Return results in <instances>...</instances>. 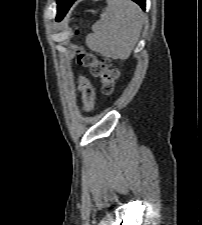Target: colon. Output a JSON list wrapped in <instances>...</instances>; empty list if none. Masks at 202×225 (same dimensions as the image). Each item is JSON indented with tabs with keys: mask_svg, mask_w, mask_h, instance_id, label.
<instances>
[{
	"mask_svg": "<svg viewBox=\"0 0 202 225\" xmlns=\"http://www.w3.org/2000/svg\"><path fill=\"white\" fill-rule=\"evenodd\" d=\"M78 64L89 70L92 78L101 81V90L110 94L120 76L118 69L113 68L109 59H98L93 54L81 51L78 54ZM80 91L82 94L83 110L87 114L94 110L95 92L91 82L86 78L80 79Z\"/></svg>",
	"mask_w": 202,
	"mask_h": 225,
	"instance_id": "colon-1",
	"label": "colon"
}]
</instances>
